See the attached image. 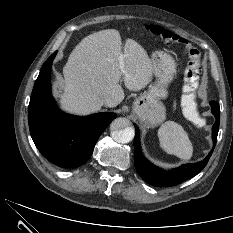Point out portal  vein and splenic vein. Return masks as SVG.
I'll list each match as a JSON object with an SVG mask.
<instances>
[{"label":"portal vein and splenic vein","mask_w":233,"mask_h":233,"mask_svg":"<svg viewBox=\"0 0 233 233\" xmlns=\"http://www.w3.org/2000/svg\"><path fill=\"white\" fill-rule=\"evenodd\" d=\"M118 61H119V68L122 72H124V67H125V64H124V55L123 54H120L119 57H118Z\"/></svg>","instance_id":"portal-vein-and-splenic-vein-1"}]
</instances>
